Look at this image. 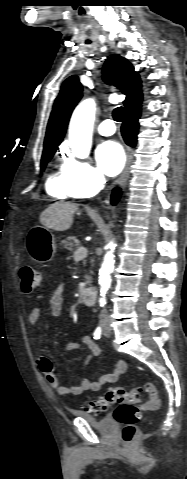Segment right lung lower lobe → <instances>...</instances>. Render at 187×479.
<instances>
[{"mask_svg":"<svg viewBox=\"0 0 187 479\" xmlns=\"http://www.w3.org/2000/svg\"><path fill=\"white\" fill-rule=\"evenodd\" d=\"M140 106L126 110L125 120L121 127L122 136L129 146L134 147L137 141L140 118ZM120 197V188H115L112 193L111 203L116 204Z\"/></svg>","mask_w":187,"mask_h":479,"instance_id":"98d812e1","label":"right lung lower lobe"}]
</instances>
